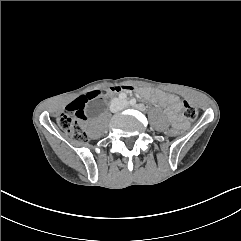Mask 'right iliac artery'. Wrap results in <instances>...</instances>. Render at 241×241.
Here are the masks:
<instances>
[{"mask_svg":"<svg viewBox=\"0 0 241 241\" xmlns=\"http://www.w3.org/2000/svg\"><path fill=\"white\" fill-rule=\"evenodd\" d=\"M127 98V95L125 93H120L119 94V99L125 100Z\"/></svg>","mask_w":241,"mask_h":241,"instance_id":"1","label":"right iliac artery"}]
</instances>
